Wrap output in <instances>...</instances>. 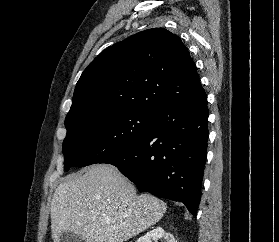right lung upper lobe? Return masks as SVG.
Listing matches in <instances>:
<instances>
[{
    "label": "right lung upper lobe",
    "instance_id": "cb5924a9",
    "mask_svg": "<svg viewBox=\"0 0 279 242\" xmlns=\"http://www.w3.org/2000/svg\"><path fill=\"white\" fill-rule=\"evenodd\" d=\"M202 92L180 38L163 28L148 29L110 46L90 63L76 84L65 122L125 109L155 113Z\"/></svg>",
    "mask_w": 279,
    "mask_h": 242
}]
</instances>
